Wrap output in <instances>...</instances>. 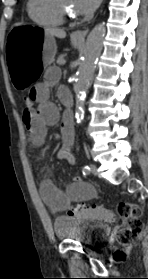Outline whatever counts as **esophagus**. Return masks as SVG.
Instances as JSON below:
<instances>
[{
  "label": "esophagus",
  "mask_w": 148,
  "mask_h": 279,
  "mask_svg": "<svg viewBox=\"0 0 148 279\" xmlns=\"http://www.w3.org/2000/svg\"><path fill=\"white\" fill-rule=\"evenodd\" d=\"M88 31H89L88 29H86V30H78V31L73 32V36L76 39L83 41L85 39Z\"/></svg>",
  "instance_id": "1"
}]
</instances>
